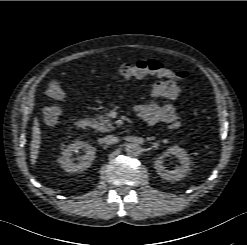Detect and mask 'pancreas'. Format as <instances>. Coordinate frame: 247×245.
<instances>
[{
  "label": "pancreas",
  "mask_w": 247,
  "mask_h": 245,
  "mask_svg": "<svg viewBox=\"0 0 247 245\" xmlns=\"http://www.w3.org/2000/svg\"><path fill=\"white\" fill-rule=\"evenodd\" d=\"M92 127L100 132H109L113 130L112 123L109 120L107 113L96 115L92 118Z\"/></svg>",
  "instance_id": "1"
}]
</instances>
